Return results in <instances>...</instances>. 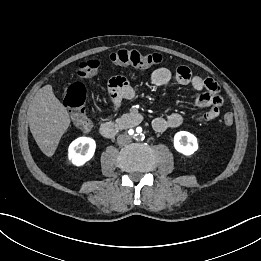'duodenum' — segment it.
Segmentation results:
<instances>
[{
  "label": "duodenum",
  "mask_w": 261,
  "mask_h": 261,
  "mask_svg": "<svg viewBox=\"0 0 261 261\" xmlns=\"http://www.w3.org/2000/svg\"><path fill=\"white\" fill-rule=\"evenodd\" d=\"M143 120L140 113L132 112L123 115L116 121H109L101 124L99 131L105 138H113L122 130H127L139 125Z\"/></svg>",
  "instance_id": "obj_1"
}]
</instances>
